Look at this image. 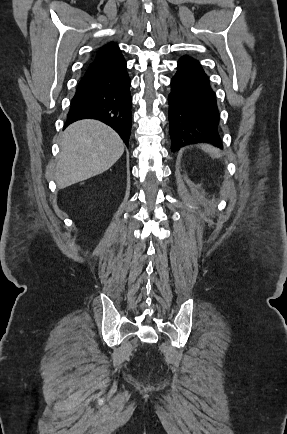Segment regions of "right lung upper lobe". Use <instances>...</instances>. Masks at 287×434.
I'll list each match as a JSON object with an SVG mask.
<instances>
[{
	"label": "right lung upper lobe",
	"instance_id": "right-lung-upper-lobe-1",
	"mask_svg": "<svg viewBox=\"0 0 287 434\" xmlns=\"http://www.w3.org/2000/svg\"><path fill=\"white\" fill-rule=\"evenodd\" d=\"M118 51H120V50H119V47L117 46V44H115L114 42H110V43L102 46L98 50L94 59H99V58L105 57L107 55L113 54V53L118 52Z\"/></svg>",
	"mask_w": 287,
	"mask_h": 434
}]
</instances>
